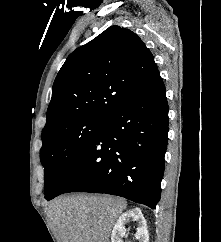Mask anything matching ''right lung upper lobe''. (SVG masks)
<instances>
[{"label": "right lung upper lobe", "mask_w": 221, "mask_h": 242, "mask_svg": "<svg viewBox=\"0 0 221 242\" xmlns=\"http://www.w3.org/2000/svg\"><path fill=\"white\" fill-rule=\"evenodd\" d=\"M159 75L137 34L111 26L71 53L53 84L42 134L67 122L104 117Z\"/></svg>", "instance_id": "1"}]
</instances>
